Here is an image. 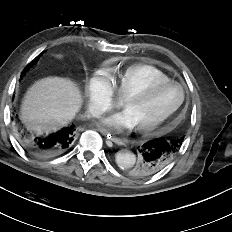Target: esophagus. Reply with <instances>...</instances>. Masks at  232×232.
Masks as SVG:
<instances>
[{"label": "esophagus", "instance_id": "esophagus-1", "mask_svg": "<svg viewBox=\"0 0 232 232\" xmlns=\"http://www.w3.org/2000/svg\"><path fill=\"white\" fill-rule=\"evenodd\" d=\"M97 130H98L102 135H104V136L106 137L107 140L112 141V142H114V143H116V144H121V142H122L121 139L112 136V135L110 134V132L107 131L105 128L99 127Z\"/></svg>", "mask_w": 232, "mask_h": 232}]
</instances>
